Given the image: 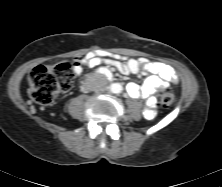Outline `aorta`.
Returning <instances> with one entry per match:
<instances>
[{
    "label": "aorta",
    "mask_w": 222,
    "mask_h": 187,
    "mask_svg": "<svg viewBox=\"0 0 222 187\" xmlns=\"http://www.w3.org/2000/svg\"><path fill=\"white\" fill-rule=\"evenodd\" d=\"M123 88L120 83H114L111 85L110 91L113 93H120L122 92Z\"/></svg>",
    "instance_id": "762f6f07"
}]
</instances>
